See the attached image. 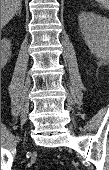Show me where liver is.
Masks as SVG:
<instances>
[{
    "label": "liver",
    "mask_w": 109,
    "mask_h": 170,
    "mask_svg": "<svg viewBox=\"0 0 109 170\" xmlns=\"http://www.w3.org/2000/svg\"><path fill=\"white\" fill-rule=\"evenodd\" d=\"M22 0H1V26L4 27L18 12Z\"/></svg>",
    "instance_id": "obj_1"
}]
</instances>
